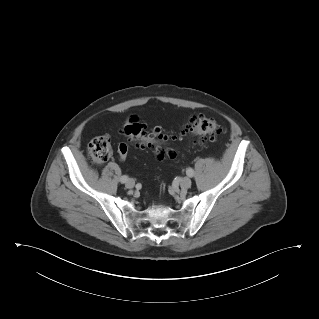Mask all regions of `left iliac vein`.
<instances>
[{
    "mask_svg": "<svg viewBox=\"0 0 319 319\" xmlns=\"http://www.w3.org/2000/svg\"><path fill=\"white\" fill-rule=\"evenodd\" d=\"M180 185L184 189H188L191 186V180L188 177H183L180 181Z\"/></svg>",
    "mask_w": 319,
    "mask_h": 319,
    "instance_id": "4c4485c4",
    "label": "left iliac vein"
}]
</instances>
